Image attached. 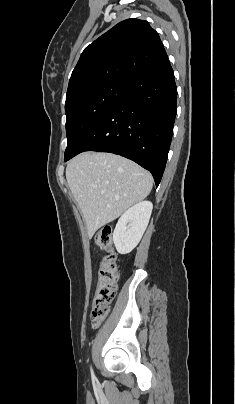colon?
I'll return each instance as SVG.
<instances>
[{
  "instance_id": "obj_1",
  "label": "colon",
  "mask_w": 235,
  "mask_h": 404,
  "mask_svg": "<svg viewBox=\"0 0 235 404\" xmlns=\"http://www.w3.org/2000/svg\"><path fill=\"white\" fill-rule=\"evenodd\" d=\"M95 243L104 252L91 310V323L94 327H98L104 322L111 303L115 299L119 281V266L114 249L112 229L109 226H105L96 234Z\"/></svg>"
}]
</instances>
